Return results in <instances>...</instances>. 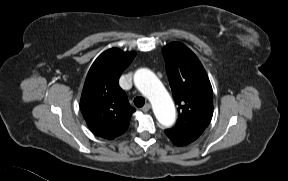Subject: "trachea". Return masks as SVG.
<instances>
[{
  "label": "trachea",
  "instance_id": "obj_1",
  "mask_svg": "<svg viewBox=\"0 0 288 181\" xmlns=\"http://www.w3.org/2000/svg\"><path fill=\"white\" fill-rule=\"evenodd\" d=\"M134 104L136 107L140 108L145 104V99L141 96H137L134 99Z\"/></svg>",
  "mask_w": 288,
  "mask_h": 181
}]
</instances>
